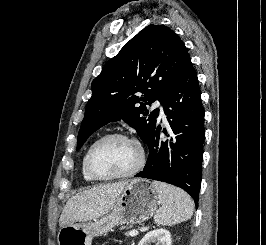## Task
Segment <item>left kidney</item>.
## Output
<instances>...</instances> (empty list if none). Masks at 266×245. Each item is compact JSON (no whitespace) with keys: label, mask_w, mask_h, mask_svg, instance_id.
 Wrapping results in <instances>:
<instances>
[{"label":"left kidney","mask_w":266,"mask_h":245,"mask_svg":"<svg viewBox=\"0 0 266 245\" xmlns=\"http://www.w3.org/2000/svg\"><path fill=\"white\" fill-rule=\"evenodd\" d=\"M150 243H156V245H172L171 235L166 229H155V231H150V233L144 235L138 245H150Z\"/></svg>","instance_id":"1"}]
</instances>
